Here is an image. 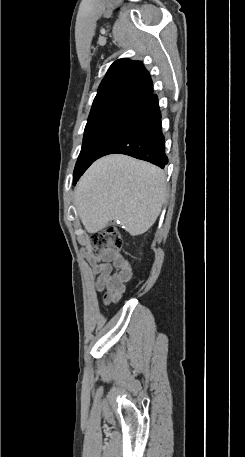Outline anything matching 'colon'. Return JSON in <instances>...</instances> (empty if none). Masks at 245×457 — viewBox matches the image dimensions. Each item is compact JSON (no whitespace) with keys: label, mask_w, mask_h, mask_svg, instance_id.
<instances>
[{"label":"colon","mask_w":245,"mask_h":457,"mask_svg":"<svg viewBox=\"0 0 245 457\" xmlns=\"http://www.w3.org/2000/svg\"><path fill=\"white\" fill-rule=\"evenodd\" d=\"M123 243V236L115 226H109L91 236L92 246L102 256L117 253L122 248Z\"/></svg>","instance_id":"5ec220e1"}]
</instances>
